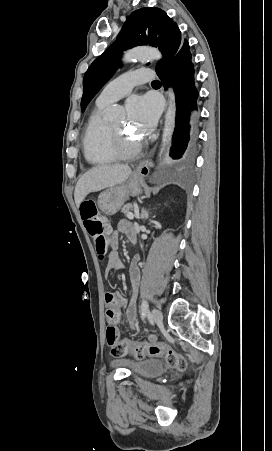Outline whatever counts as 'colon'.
<instances>
[{
	"mask_svg": "<svg viewBox=\"0 0 272 451\" xmlns=\"http://www.w3.org/2000/svg\"><path fill=\"white\" fill-rule=\"evenodd\" d=\"M81 216L85 226L95 243L98 258L103 260L109 251L108 233L103 230V223L98 206L94 202H85L81 205ZM106 343L110 355L122 356L131 351L136 359H141L140 354H163L168 364L175 369L184 370L185 362L177 352H173L170 345H154L153 342H130L129 339H117V328L113 324H106Z\"/></svg>",
	"mask_w": 272,
	"mask_h": 451,
	"instance_id": "1",
	"label": "colon"
}]
</instances>
